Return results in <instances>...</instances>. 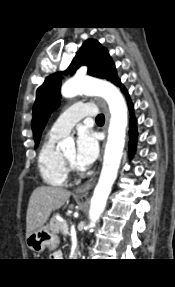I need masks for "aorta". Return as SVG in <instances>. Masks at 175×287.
Segmentation results:
<instances>
[{
  "instance_id": "762f6f07",
  "label": "aorta",
  "mask_w": 175,
  "mask_h": 287,
  "mask_svg": "<svg viewBox=\"0 0 175 287\" xmlns=\"http://www.w3.org/2000/svg\"><path fill=\"white\" fill-rule=\"evenodd\" d=\"M80 93H93L105 99L111 114L102 170L90 204L91 231L105 209L112 185L117 178L125 145L128 115L124 97L119 89L109 82L73 78L61 89V94L65 98H71ZM59 146L64 150L67 147H73L74 142L71 139H65L59 143Z\"/></svg>"
}]
</instances>
